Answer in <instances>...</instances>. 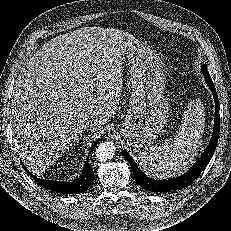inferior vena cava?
<instances>
[{"instance_id":"inferior-vena-cava-1","label":"inferior vena cava","mask_w":231,"mask_h":231,"mask_svg":"<svg viewBox=\"0 0 231 231\" xmlns=\"http://www.w3.org/2000/svg\"><path fill=\"white\" fill-rule=\"evenodd\" d=\"M97 124H98V121H97L96 119H94V118L87 119V120L85 121V125H86V126H89V127L94 126V125H97Z\"/></svg>"}]
</instances>
